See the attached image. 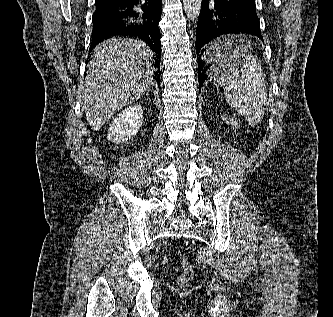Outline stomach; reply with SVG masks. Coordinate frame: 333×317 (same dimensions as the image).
Masks as SVG:
<instances>
[{"instance_id": "0dacf381", "label": "stomach", "mask_w": 333, "mask_h": 317, "mask_svg": "<svg viewBox=\"0 0 333 317\" xmlns=\"http://www.w3.org/2000/svg\"><path fill=\"white\" fill-rule=\"evenodd\" d=\"M219 38V41H209L206 45L204 61L215 62L211 75L207 76L208 88H229V82H262L231 81V74H241V71L228 70L253 69L257 55H250L252 42L244 41V34L220 33Z\"/></svg>"}]
</instances>
